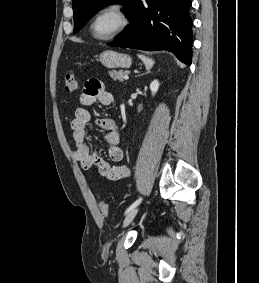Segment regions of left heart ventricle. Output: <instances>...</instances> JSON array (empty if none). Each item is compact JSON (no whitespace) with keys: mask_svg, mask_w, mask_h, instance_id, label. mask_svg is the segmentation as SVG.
<instances>
[{"mask_svg":"<svg viewBox=\"0 0 259 283\" xmlns=\"http://www.w3.org/2000/svg\"><path fill=\"white\" fill-rule=\"evenodd\" d=\"M119 24V18L113 12H108L99 17L94 26L93 31L98 36H106L110 34Z\"/></svg>","mask_w":259,"mask_h":283,"instance_id":"obj_1","label":"left heart ventricle"}]
</instances>
